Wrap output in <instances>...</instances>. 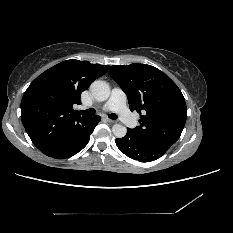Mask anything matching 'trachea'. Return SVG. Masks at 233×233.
Instances as JSON below:
<instances>
[{"label": "trachea", "instance_id": "obj_1", "mask_svg": "<svg viewBox=\"0 0 233 233\" xmlns=\"http://www.w3.org/2000/svg\"><path fill=\"white\" fill-rule=\"evenodd\" d=\"M77 113L80 114V115H83V116L90 117V116H93L95 114V110L93 108H90V109H86V110H83V111H77ZM108 117L110 119H112V120L117 119V115L114 114V113L109 114Z\"/></svg>", "mask_w": 233, "mask_h": 233}]
</instances>
